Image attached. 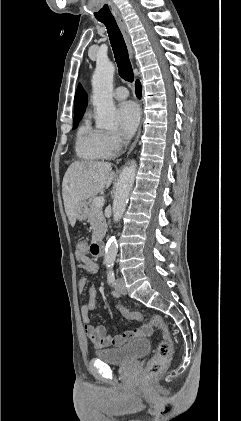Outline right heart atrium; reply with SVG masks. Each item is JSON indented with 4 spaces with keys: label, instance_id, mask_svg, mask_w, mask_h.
Instances as JSON below:
<instances>
[{
    "label": "right heart atrium",
    "instance_id": "right-heart-atrium-1",
    "mask_svg": "<svg viewBox=\"0 0 241 421\" xmlns=\"http://www.w3.org/2000/svg\"><path fill=\"white\" fill-rule=\"evenodd\" d=\"M100 144L106 157L114 156L123 146L124 141L116 132L100 131Z\"/></svg>",
    "mask_w": 241,
    "mask_h": 421
}]
</instances>
